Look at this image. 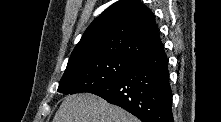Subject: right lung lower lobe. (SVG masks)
I'll return each instance as SVG.
<instances>
[{
  "instance_id": "1",
  "label": "right lung lower lobe",
  "mask_w": 221,
  "mask_h": 122,
  "mask_svg": "<svg viewBox=\"0 0 221 122\" xmlns=\"http://www.w3.org/2000/svg\"><path fill=\"white\" fill-rule=\"evenodd\" d=\"M90 93L142 122H173L167 57L161 42L136 58L118 80Z\"/></svg>"
}]
</instances>
